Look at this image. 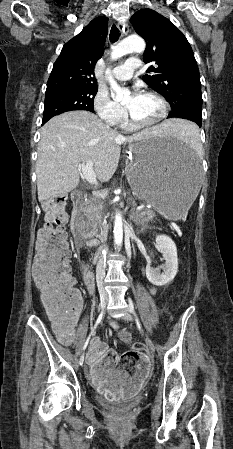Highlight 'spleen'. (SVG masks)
Listing matches in <instances>:
<instances>
[{"mask_svg":"<svg viewBox=\"0 0 233 449\" xmlns=\"http://www.w3.org/2000/svg\"><path fill=\"white\" fill-rule=\"evenodd\" d=\"M179 142H186L197 148L199 139L197 135V124L194 125H180V131L176 134Z\"/></svg>","mask_w":233,"mask_h":449,"instance_id":"spleen-1","label":"spleen"}]
</instances>
